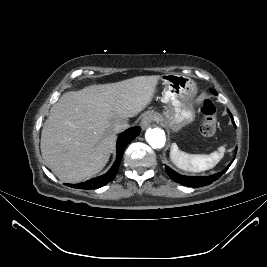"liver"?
<instances>
[{"instance_id":"6515ba94","label":"liver","mask_w":267,"mask_h":267,"mask_svg":"<svg viewBox=\"0 0 267 267\" xmlns=\"http://www.w3.org/2000/svg\"><path fill=\"white\" fill-rule=\"evenodd\" d=\"M160 79L137 76L64 93L42 129L40 148L46 166L67 183L99 173L114 148V124L128 121L149 105Z\"/></svg>"}]
</instances>
